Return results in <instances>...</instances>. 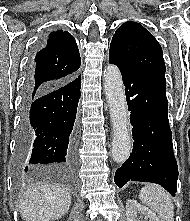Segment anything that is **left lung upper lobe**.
<instances>
[{"label":"left lung upper lobe","instance_id":"obj_1","mask_svg":"<svg viewBox=\"0 0 190 221\" xmlns=\"http://www.w3.org/2000/svg\"><path fill=\"white\" fill-rule=\"evenodd\" d=\"M109 61L125 71L165 80L162 48L139 23L126 22L116 30L110 45Z\"/></svg>","mask_w":190,"mask_h":221}]
</instances>
